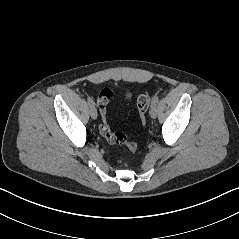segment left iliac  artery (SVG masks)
Wrapping results in <instances>:
<instances>
[{
	"mask_svg": "<svg viewBox=\"0 0 239 239\" xmlns=\"http://www.w3.org/2000/svg\"><path fill=\"white\" fill-rule=\"evenodd\" d=\"M158 101H159V96H155V97L152 99L151 106H152V105H157Z\"/></svg>",
	"mask_w": 239,
	"mask_h": 239,
	"instance_id": "1",
	"label": "left iliac artery"
}]
</instances>
